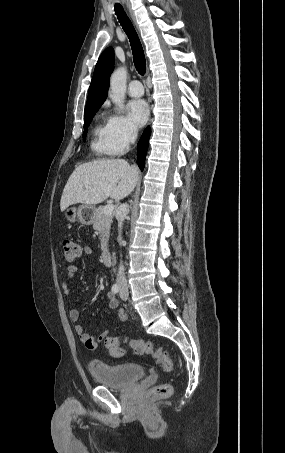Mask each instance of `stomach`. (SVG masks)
<instances>
[{"instance_id": "1", "label": "stomach", "mask_w": 285, "mask_h": 453, "mask_svg": "<svg viewBox=\"0 0 285 453\" xmlns=\"http://www.w3.org/2000/svg\"><path fill=\"white\" fill-rule=\"evenodd\" d=\"M95 212L96 210L93 206L83 204L78 208H67L64 215L65 219L70 223L78 221L83 225H91L94 221Z\"/></svg>"}]
</instances>
